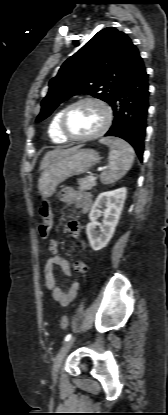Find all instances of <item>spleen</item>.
I'll list each match as a JSON object with an SVG mask.
<instances>
[{"mask_svg":"<svg viewBox=\"0 0 168 415\" xmlns=\"http://www.w3.org/2000/svg\"><path fill=\"white\" fill-rule=\"evenodd\" d=\"M102 144L110 148L109 165L100 175L103 184H112L121 179L130 170L134 161V150L125 141L118 138H103Z\"/></svg>","mask_w":168,"mask_h":415,"instance_id":"obj_1","label":"spleen"}]
</instances>
